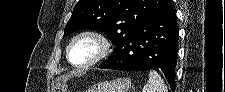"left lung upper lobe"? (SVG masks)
<instances>
[{"instance_id": "5c2ea615", "label": "left lung upper lobe", "mask_w": 225, "mask_h": 92, "mask_svg": "<svg viewBox=\"0 0 225 92\" xmlns=\"http://www.w3.org/2000/svg\"><path fill=\"white\" fill-rule=\"evenodd\" d=\"M168 0H79L64 36L81 29L104 32L115 45L113 54Z\"/></svg>"}]
</instances>
